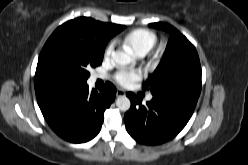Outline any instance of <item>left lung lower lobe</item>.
<instances>
[{
    "label": "left lung lower lobe",
    "mask_w": 248,
    "mask_h": 165,
    "mask_svg": "<svg viewBox=\"0 0 248 165\" xmlns=\"http://www.w3.org/2000/svg\"><path fill=\"white\" fill-rule=\"evenodd\" d=\"M131 107L124 121L127 132L139 143L157 145L174 138L187 124L197 100L153 96L142 105L133 93H127Z\"/></svg>",
    "instance_id": "left-lung-lower-lobe-1"
}]
</instances>
